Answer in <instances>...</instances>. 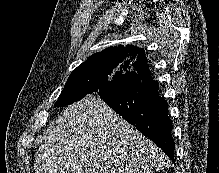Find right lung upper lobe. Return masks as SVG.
Instances as JSON below:
<instances>
[{"label":"right lung upper lobe","mask_w":219,"mask_h":173,"mask_svg":"<svg viewBox=\"0 0 219 173\" xmlns=\"http://www.w3.org/2000/svg\"><path fill=\"white\" fill-rule=\"evenodd\" d=\"M110 61L131 66L134 70L147 65L145 51L142 48L133 45H127L126 47L119 45L118 47H108L101 52L89 56L84 63L73 71L76 73L85 66H97Z\"/></svg>","instance_id":"1"}]
</instances>
